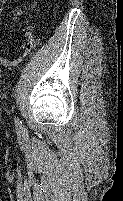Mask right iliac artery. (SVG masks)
<instances>
[{
  "mask_svg": "<svg viewBox=\"0 0 123 201\" xmlns=\"http://www.w3.org/2000/svg\"><path fill=\"white\" fill-rule=\"evenodd\" d=\"M16 127L18 131L22 130V122L19 119L15 120Z\"/></svg>",
  "mask_w": 123,
  "mask_h": 201,
  "instance_id": "1",
  "label": "right iliac artery"
}]
</instances>
